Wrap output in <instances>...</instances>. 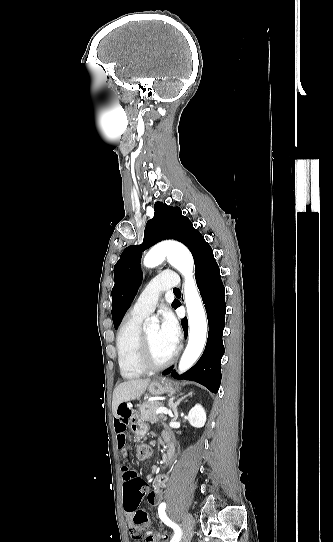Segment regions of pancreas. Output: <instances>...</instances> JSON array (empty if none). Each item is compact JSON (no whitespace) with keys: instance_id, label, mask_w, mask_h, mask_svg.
<instances>
[{"instance_id":"cf45deb5","label":"pancreas","mask_w":333,"mask_h":542,"mask_svg":"<svg viewBox=\"0 0 333 542\" xmlns=\"http://www.w3.org/2000/svg\"><path fill=\"white\" fill-rule=\"evenodd\" d=\"M161 406H164L162 402H143V404H140L139 412L135 416H137L138 420H145V422H159V420L165 422L167 418L164 414H158V416L154 414L155 410L161 408Z\"/></svg>"}]
</instances>
